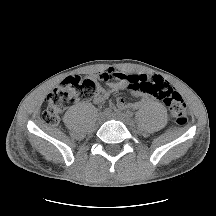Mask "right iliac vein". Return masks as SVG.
Here are the masks:
<instances>
[{
	"mask_svg": "<svg viewBox=\"0 0 216 216\" xmlns=\"http://www.w3.org/2000/svg\"><path fill=\"white\" fill-rule=\"evenodd\" d=\"M107 114L104 112H101L98 114V122L103 123L106 120Z\"/></svg>",
	"mask_w": 216,
	"mask_h": 216,
	"instance_id": "right-iliac-vein-1",
	"label": "right iliac vein"
}]
</instances>
